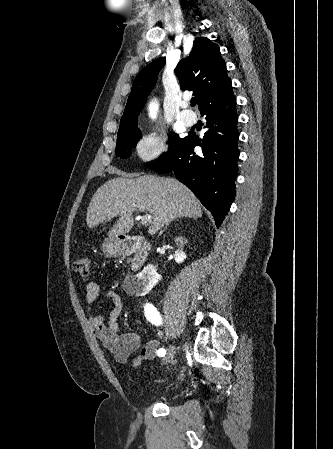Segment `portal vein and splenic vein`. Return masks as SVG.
<instances>
[{
    "mask_svg": "<svg viewBox=\"0 0 333 449\" xmlns=\"http://www.w3.org/2000/svg\"><path fill=\"white\" fill-rule=\"evenodd\" d=\"M151 221H152V216L149 215V214H146L145 216H143V217L141 218V223H142L143 225H148L149 223H151Z\"/></svg>",
    "mask_w": 333,
    "mask_h": 449,
    "instance_id": "1",
    "label": "portal vein and splenic vein"
}]
</instances>
